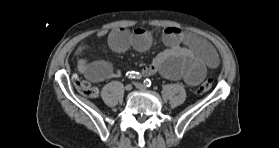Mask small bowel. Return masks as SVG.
<instances>
[{
  "instance_id": "obj_1",
  "label": "small bowel",
  "mask_w": 279,
  "mask_h": 148,
  "mask_svg": "<svg viewBox=\"0 0 279 148\" xmlns=\"http://www.w3.org/2000/svg\"><path fill=\"white\" fill-rule=\"evenodd\" d=\"M162 40L167 49L143 67L144 76L159 72L168 79H183L187 84L194 86L205 77L208 68H216L220 63L215 48L192 32L167 27L162 33ZM108 44L117 53H123L129 48L144 52L152 44V35L145 28H137L134 31L118 28L109 33ZM87 51L86 45L77 50L78 69L86 78L93 82H102L119 76V71L107 61L86 62L84 55Z\"/></svg>"
}]
</instances>
